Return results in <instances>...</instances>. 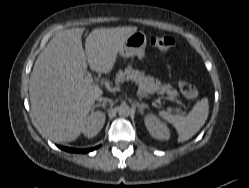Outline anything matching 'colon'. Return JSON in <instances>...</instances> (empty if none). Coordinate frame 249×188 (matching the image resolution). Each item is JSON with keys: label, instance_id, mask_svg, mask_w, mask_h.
Wrapping results in <instances>:
<instances>
[{"label": "colon", "instance_id": "colon-1", "mask_svg": "<svg viewBox=\"0 0 249 188\" xmlns=\"http://www.w3.org/2000/svg\"><path fill=\"white\" fill-rule=\"evenodd\" d=\"M174 44V39L169 36H154L151 38V45L158 50H170ZM179 88L182 94L190 100H195L198 97L199 93L196 87L187 81H180Z\"/></svg>", "mask_w": 249, "mask_h": 188}]
</instances>
